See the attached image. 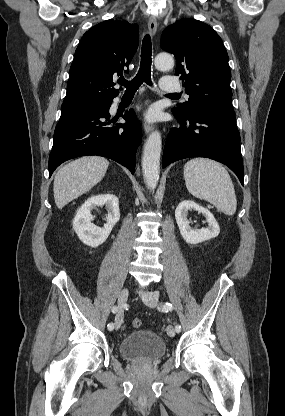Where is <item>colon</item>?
<instances>
[{
    "instance_id": "colon-1",
    "label": "colon",
    "mask_w": 285,
    "mask_h": 416,
    "mask_svg": "<svg viewBox=\"0 0 285 416\" xmlns=\"http://www.w3.org/2000/svg\"><path fill=\"white\" fill-rule=\"evenodd\" d=\"M131 325L133 328H139L141 326V320L137 318L133 319Z\"/></svg>"
}]
</instances>
